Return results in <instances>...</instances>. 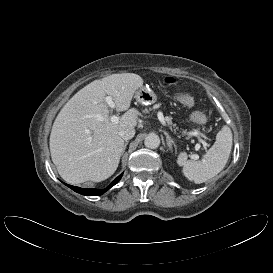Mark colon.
<instances>
[{
  "label": "colon",
  "mask_w": 273,
  "mask_h": 273,
  "mask_svg": "<svg viewBox=\"0 0 273 273\" xmlns=\"http://www.w3.org/2000/svg\"><path fill=\"white\" fill-rule=\"evenodd\" d=\"M166 82L169 84H174L175 80L173 78H167ZM177 99L181 104L188 107L193 106L194 104V97L189 92L179 94ZM191 120L195 123L203 124L207 121V118L203 113L196 111L191 114Z\"/></svg>",
  "instance_id": "1"
}]
</instances>
